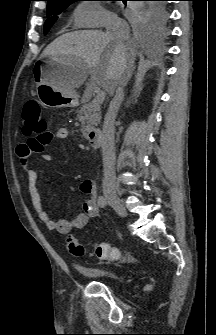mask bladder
<instances>
[{
	"instance_id": "bladder-1",
	"label": "bladder",
	"mask_w": 216,
	"mask_h": 335,
	"mask_svg": "<svg viewBox=\"0 0 216 335\" xmlns=\"http://www.w3.org/2000/svg\"><path fill=\"white\" fill-rule=\"evenodd\" d=\"M76 269L81 274L95 279H113V280L119 279V277L112 271L98 267L77 266Z\"/></svg>"
}]
</instances>
